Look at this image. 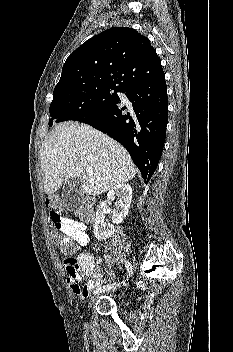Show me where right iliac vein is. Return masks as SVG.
Masks as SVG:
<instances>
[{
  "label": "right iliac vein",
  "instance_id": "right-iliac-vein-1",
  "mask_svg": "<svg viewBox=\"0 0 233 352\" xmlns=\"http://www.w3.org/2000/svg\"><path fill=\"white\" fill-rule=\"evenodd\" d=\"M117 287H121V286L118 285V286H116V287H113V288H111V289H109V290H105V291H111V290L113 291V290L117 289ZM105 291L96 293V294L91 298V300L89 301V307H90L92 304H94V302L98 299L99 295H100L101 293L105 292Z\"/></svg>",
  "mask_w": 233,
  "mask_h": 352
}]
</instances>
